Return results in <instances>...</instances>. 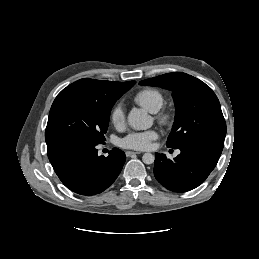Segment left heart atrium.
Instances as JSON below:
<instances>
[{
  "instance_id": "39dd6f15",
  "label": "left heart atrium",
  "mask_w": 259,
  "mask_h": 259,
  "mask_svg": "<svg viewBox=\"0 0 259 259\" xmlns=\"http://www.w3.org/2000/svg\"><path fill=\"white\" fill-rule=\"evenodd\" d=\"M157 137L158 134L155 130L132 132L121 139L120 145L128 149L146 150Z\"/></svg>"
}]
</instances>
